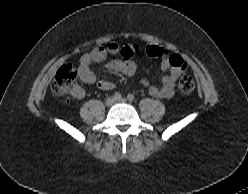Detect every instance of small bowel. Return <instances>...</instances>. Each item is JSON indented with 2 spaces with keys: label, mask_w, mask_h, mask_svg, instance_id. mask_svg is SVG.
<instances>
[{
  "label": "small bowel",
  "mask_w": 248,
  "mask_h": 194,
  "mask_svg": "<svg viewBox=\"0 0 248 194\" xmlns=\"http://www.w3.org/2000/svg\"><path fill=\"white\" fill-rule=\"evenodd\" d=\"M138 46L135 44H125L118 46L111 43L105 47H97L81 56L79 60L78 72L80 79L86 84H94L99 89L107 91L113 88L111 81L98 79L91 70L93 63H101L104 68L112 72H120L128 76L136 73V65L132 61L138 53ZM121 53L122 57L107 61L111 55ZM146 53L153 58L161 60L163 76L160 85H150L146 79H142V84L147 87L148 92L154 97L170 98L174 94L175 83L186 69L184 59L179 55H171L163 48L156 45L146 47ZM71 94L76 99H83L85 92L83 88L76 86Z\"/></svg>",
  "instance_id": "obj_1"
}]
</instances>
